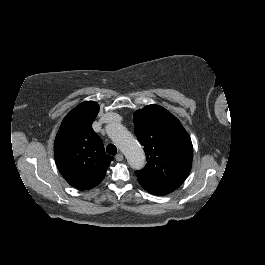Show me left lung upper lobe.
Returning <instances> with one entry per match:
<instances>
[{"mask_svg": "<svg viewBox=\"0 0 265 265\" xmlns=\"http://www.w3.org/2000/svg\"><path fill=\"white\" fill-rule=\"evenodd\" d=\"M135 134L144 146L147 164L135 174L139 183L174 191L190 173L193 146L180 121L158 105L134 113Z\"/></svg>", "mask_w": 265, "mask_h": 265, "instance_id": "1", "label": "left lung upper lobe"}]
</instances>
